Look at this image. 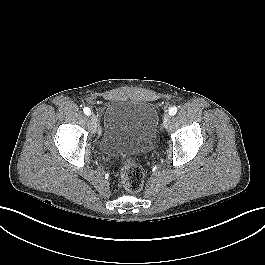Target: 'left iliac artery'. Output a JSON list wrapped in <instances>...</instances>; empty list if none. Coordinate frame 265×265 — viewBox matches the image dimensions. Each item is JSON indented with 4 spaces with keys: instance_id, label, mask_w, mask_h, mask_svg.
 <instances>
[{
    "instance_id": "left-iliac-artery-1",
    "label": "left iliac artery",
    "mask_w": 265,
    "mask_h": 265,
    "mask_svg": "<svg viewBox=\"0 0 265 265\" xmlns=\"http://www.w3.org/2000/svg\"><path fill=\"white\" fill-rule=\"evenodd\" d=\"M176 112H177V107H175V106L171 107L170 110H169V114L171 116L175 115Z\"/></svg>"
}]
</instances>
